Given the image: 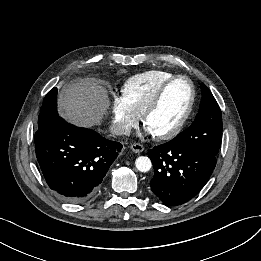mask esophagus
<instances>
[{
	"label": "esophagus",
	"mask_w": 261,
	"mask_h": 261,
	"mask_svg": "<svg viewBox=\"0 0 261 261\" xmlns=\"http://www.w3.org/2000/svg\"><path fill=\"white\" fill-rule=\"evenodd\" d=\"M131 150L135 153H141L144 150L143 145L139 144V143H134L130 146Z\"/></svg>",
	"instance_id": "esophagus-1"
}]
</instances>
